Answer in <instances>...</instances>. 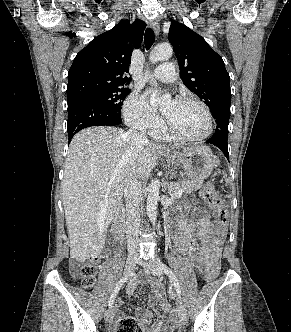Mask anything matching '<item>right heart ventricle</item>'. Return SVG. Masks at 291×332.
Here are the masks:
<instances>
[{
	"instance_id": "right-heart-ventricle-1",
	"label": "right heart ventricle",
	"mask_w": 291,
	"mask_h": 332,
	"mask_svg": "<svg viewBox=\"0 0 291 332\" xmlns=\"http://www.w3.org/2000/svg\"><path fill=\"white\" fill-rule=\"evenodd\" d=\"M151 135L156 139H168L170 136L163 130L158 129L151 133Z\"/></svg>"
}]
</instances>
